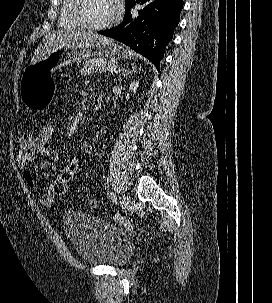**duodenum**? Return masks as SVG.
<instances>
[{
	"mask_svg": "<svg viewBox=\"0 0 272 303\" xmlns=\"http://www.w3.org/2000/svg\"><path fill=\"white\" fill-rule=\"evenodd\" d=\"M102 104H103V95L102 94H96L93 97V100H92L93 109H95V110L100 109Z\"/></svg>",
	"mask_w": 272,
	"mask_h": 303,
	"instance_id": "410a0bca",
	"label": "duodenum"
}]
</instances>
